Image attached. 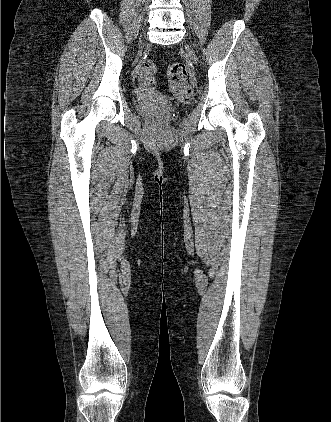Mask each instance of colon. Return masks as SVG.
I'll use <instances>...</instances> for the list:
<instances>
[{"mask_svg":"<svg viewBox=\"0 0 331 422\" xmlns=\"http://www.w3.org/2000/svg\"><path fill=\"white\" fill-rule=\"evenodd\" d=\"M156 73L155 63L148 60L143 63L140 69L142 78L152 81ZM168 77L170 89L182 103H187L192 96V88L188 83V70L181 62H171L168 66Z\"/></svg>","mask_w":331,"mask_h":422,"instance_id":"colon-1","label":"colon"}]
</instances>
